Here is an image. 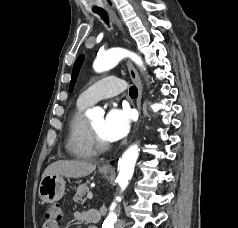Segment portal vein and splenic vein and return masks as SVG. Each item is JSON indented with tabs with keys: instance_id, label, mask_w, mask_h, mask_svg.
I'll return each instance as SVG.
<instances>
[{
	"instance_id": "18ae733b",
	"label": "portal vein and splenic vein",
	"mask_w": 238,
	"mask_h": 228,
	"mask_svg": "<svg viewBox=\"0 0 238 228\" xmlns=\"http://www.w3.org/2000/svg\"><path fill=\"white\" fill-rule=\"evenodd\" d=\"M87 197H88V199H89V200H92V198H93V195H92V193H91V192H89V193H88V195H87Z\"/></svg>"
}]
</instances>
